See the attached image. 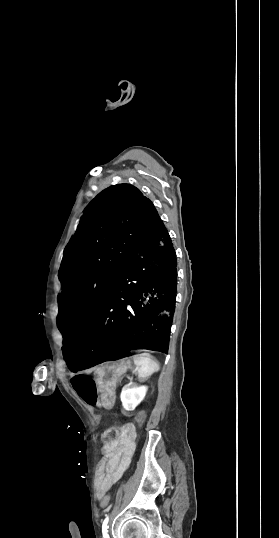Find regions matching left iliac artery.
Returning a JSON list of instances; mask_svg holds the SVG:
<instances>
[{
  "instance_id": "44dca946",
  "label": "left iliac artery",
  "mask_w": 279,
  "mask_h": 538,
  "mask_svg": "<svg viewBox=\"0 0 279 538\" xmlns=\"http://www.w3.org/2000/svg\"><path fill=\"white\" fill-rule=\"evenodd\" d=\"M108 521H109V516H106L102 524V534L104 538H108V534H107Z\"/></svg>"
}]
</instances>
